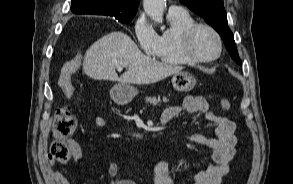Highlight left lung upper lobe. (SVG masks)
<instances>
[{
  "label": "left lung upper lobe",
  "mask_w": 293,
  "mask_h": 184,
  "mask_svg": "<svg viewBox=\"0 0 293 184\" xmlns=\"http://www.w3.org/2000/svg\"><path fill=\"white\" fill-rule=\"evenodd\" d=\"M180 3L188 6L213 26L222 37L232 59L241 65L233 34L228 27L223 0H181Z\"/></svg>",
  "instance_id": "5c2ea615"
}]
</instances>
